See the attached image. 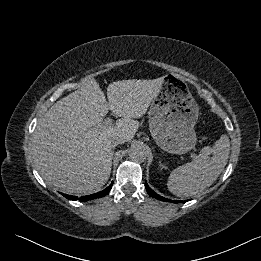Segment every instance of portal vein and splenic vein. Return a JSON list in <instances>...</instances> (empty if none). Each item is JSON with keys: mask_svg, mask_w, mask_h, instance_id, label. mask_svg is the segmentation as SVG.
Listing matches in <instances>:
<instances>
[{"mask_svg": "<svg viewBox=\"0 0 261 261\" xmlns=\"http://www.w3.org/2000/svg\"><path fill=\"white\" fill-rule=\"evenodd\" d=\"M113 124V121L111 118H106L102 123H99L97 125V127H107V126H111ZM191 157L196 159L197 155L195 153L191 154Z\"/></svg>", "mask_w": 261, "mask_h": 261, "instance_id": "obj_1", "label": "portal vein and splenic vein"}]
</instances>
